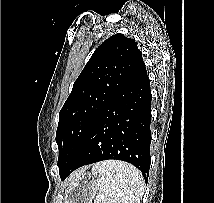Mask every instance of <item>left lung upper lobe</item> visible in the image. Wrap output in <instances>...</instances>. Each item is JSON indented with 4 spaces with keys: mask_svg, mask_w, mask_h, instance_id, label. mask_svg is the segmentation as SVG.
<instances>
[{
    "mask_svg": "<svg viewBox=\"0 0 214 203\" xmlns=\"http://www.w3.org/2000/svg\"><path fill=\"white\" fill-rule=\"evenodd\" d=\"M142 61L135 40L123 34L112 35L94 51L59 112L60 176L78 154L97 117Z\"/></svg>",
    "mask_w": 214,
    "mask_h": 203,
    "instance_id": "1",
    "label": "left lung upper lobe"
}]
</instances>
